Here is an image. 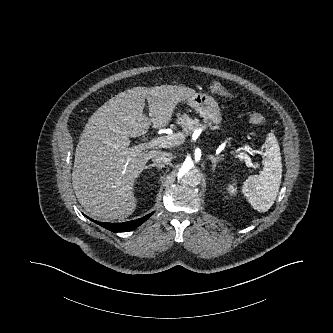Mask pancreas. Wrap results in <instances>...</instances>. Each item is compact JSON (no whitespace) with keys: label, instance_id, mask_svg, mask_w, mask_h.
Segmentation results:
<instances>
[{"label":"pancreas","instance_id":"cf45deb5","mask_svg":"<svg viewBox=\"0 0 333 333\" xmlns=\"http://www.w3.org/2000/svg\"><path fill=\"white\" fill-rule=\"evenodd\" d=\"M177 123L182 126L183 131L188 135L191 131H194L199 126H202L197 118H190L188 115L184 114L178 117Z\"/></svg>","mask_w":333,"mask_h":333}]
</instances>
